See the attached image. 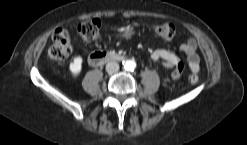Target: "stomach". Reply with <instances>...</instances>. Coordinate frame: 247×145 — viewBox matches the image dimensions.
Wrapping results in <instances>:
<instances>
[{
	"label": "stomach",
	"instance_id": "stomach-1",
	"mask_svg": "<svg viewBox=\"0 0 247 145\" xmlns=\"http://www.w3.org/2000/svg\"><path fill=\"white\" fill-rule=\"evenodd\" d=\"M134 30L133 28H126L123 33H122V37L126 38V39H130L133 35H134Z\"/></svg>",
	"mask_w": 247,
	"mask_h": 145
}]
</instances>
